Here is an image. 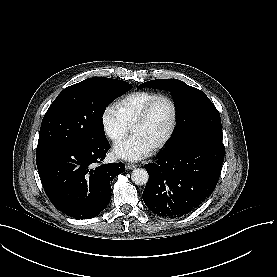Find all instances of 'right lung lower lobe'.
I'll return each mask as SVG.
<instances>
[{
    "instance_id": "right-lung-lower-lobe-1",
    "label": "right lung lower lobe",
    "mask_w": 277,
    "mask_h": 277,
    "mask_svg": "<svg viewBox=\"0 0 277 277\" xmlns=\"http://www.w3.org/2000/svg\"><path fill=\"white\" fill-rule=\"evenodd\" d=\"M109 149L106 138L37 147L39 175L56 208L69 216L89 219L106 207L111 199L110 180L125 171L121 162L97 165Z\"/></svg>"
}]
</instances>
